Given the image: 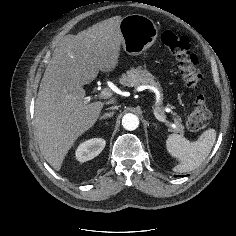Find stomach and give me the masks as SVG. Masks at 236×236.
Instances as JSON below:
<instances>
[{"mask_svg":"<svg viewBox=\"0 0 236 236\" xmlns=\"http://www.w3.org/2000/svg\"><path fill=\"white\" fill-rule=\"evenodd\" d=\"M120 32L123 48L131 56L142 54L154 44L158 36L153 20L141 14H130L122 18Z\"/></svg>","mask_w":236,"mask_h":236,"instance_id":"1","label":"stomach"}]
</instances>
